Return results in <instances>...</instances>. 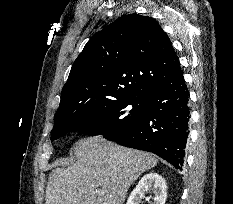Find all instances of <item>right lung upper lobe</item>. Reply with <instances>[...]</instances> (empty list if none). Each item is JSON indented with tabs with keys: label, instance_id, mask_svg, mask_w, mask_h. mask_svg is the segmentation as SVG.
<instances>
[{
	"label": "right lung upper lobe",
	"instance_id": "cb5924a9",
	"mask_svg": "<svg viewBox=\"0 0 233 204\" xmlns=\"http://www.w3.org/2000/svg\"><path fill=\"white\" fill-rule=\"evenodd\" d=\"M178 64L169 37L154 19L122 16L97 32L77 57L54 124L109 101L147 96Z\"/></svg>",
	"mask_w": 233,
	"mask_h": 204
}]
</instances>
